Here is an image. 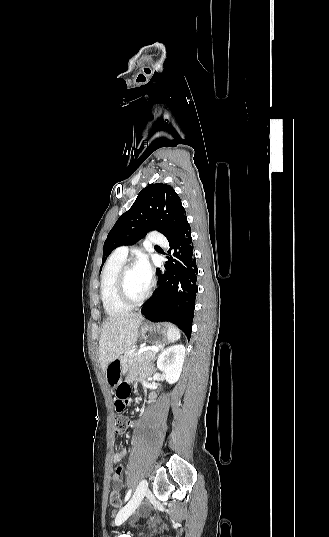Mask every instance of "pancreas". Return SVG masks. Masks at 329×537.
I'll return each instance as SVG.
<instances>
[{"label": "pancreas", "mask_w": 329, "mask_h": 537, "mask_svg": "<svg viewBox=\"0 0 329 537\" xmlns=\"http://www.w3.org/2000/svg\"><path fill=\"white\" fill-rule=\"evenodd\" d=\"M135 351H127L121 358V366L123 370L130 369L136 362H147L155 356V352L152 350L145 351L144 353L135 356Z\"/></svg>", "instance_id": "obj_1"}]
</instances>
